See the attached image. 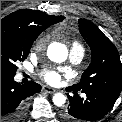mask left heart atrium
Here are the masks:
<instances>
[{"instance_id": "obj_1", "label": "left heart atrium", "mask_w": 122, "mask_h": 122, "mask_svg": "<svg viewBox=\"0 0 122 122\" xmlns=\"http://www.w3.org/2000/svg\"><path fill=\"white\" fill-rule=\"evenodd\" d=\"M43 79L50 85H58L61 82L62 75L52 69H46L42 73Z\"/></svg>"}]
</instances>
